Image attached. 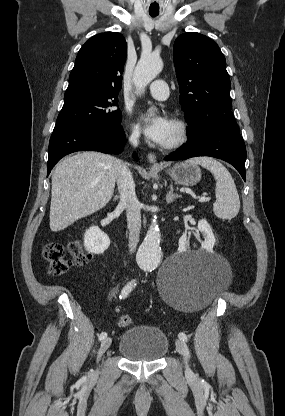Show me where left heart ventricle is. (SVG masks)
Here are the masks:
<instances>
[{
	"instance_id": "left-heart-ventricle-1",
	"label": "left heart ventricle",
	"mask_w": 285,
	"mask_h": 416,
	"mask_svg": "<svg viewBox=\"0 0 285 416\" xmlns=\"http://www.w3.org/2000/svg\"><path fill=\"white\" fill-rule=\"evenodd\" d=\"M173 137H174V129H173V126H172L171 134H170V136L168 137V139H167V141L165 142V144L169 143V142L173 139Z\"/></svg>"
}]
</instances>
